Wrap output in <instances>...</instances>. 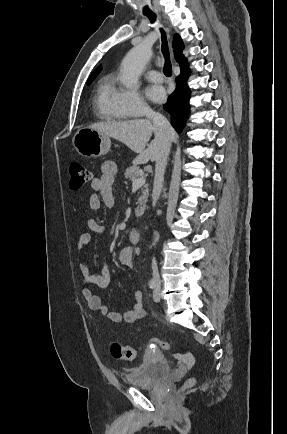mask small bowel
Listing matches in <instances>:
<instances>
[{
	"label": "small bowel",
	"mask_w": 287,
	"mask_h": 434,
	"mask_svg": "<svg viewBox=\"0 0 287 434\" xmlns=\"http://www.w3.org/2000/svg\"><path fill=\"white\" fill-rule=\"evenodd\" d=\"M117 173V166L113 161H105L101 165V174L93 177L91 180V188L94 193L89 196L88 204L90 209L99 210L103 205L112 207L114 205V196L112 187ZM106 228L100 224L95 218H88L85 222V231L81 233L77 242V249L81 252L85 251L89 246L92 234H104ZM118 263L126 268L133 266V249L132 247H124L119 251L117 256ZM79 274L81 293L85 298L88 307L104 314L110 321L120 323H133L140 320L144 316L143 295L137 290L133 294V305L130 310L125 313L112 312L101 298L91 289V286L106 287L109 284V268L107 262H104L98 274H91L89 266L85 260L79 263ZM187 368L192 367L193 359L191 357L185 361Z\"/></svg>",
	"instance_id": "small-bowel-1"
}]
</instances>
